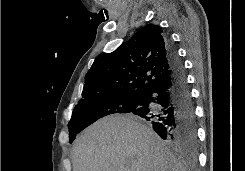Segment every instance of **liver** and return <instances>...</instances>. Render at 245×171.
<instances>
[{
	"label": "liver",
	"mask_w": 245,
	"mask_h": 171,
	"mask_svg": "<svg viewBox=\"0 0 245 171\" xmlns=\"http://www.w3.org/2000/svg\"><path fill=\"white\" fill-rule=\"evenodd\" d=\"M73 171H186L160 137L132 115L86 128L72 149Z\"/></svg>",
	"instance_id": "6515ba94"
}]
</instances>
